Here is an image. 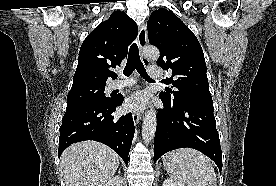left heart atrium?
<instances>
[{
  "label": "left heart atrium",
  "instance_id": "1",
  "mask_svg": "<svg viewBox=\"0 0 276 186\" xmlns=\"http://www.w3.org/2000/svg\"><path fill=\"white\" fill-rule=\"evenodd\" d=\"M147 97L144 93L132 95L128 102V108L131 110H141L146 105Z\"/></svg>",
  "mask_w": 276,
  "mask_h": 186
}]
</instances>
